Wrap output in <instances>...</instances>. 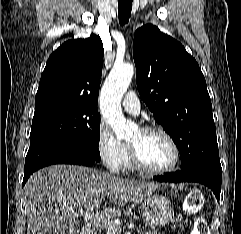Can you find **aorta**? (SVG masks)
<instances>
[{
	"label": "aorta",
	"mask_w": 241,
	"mask_h": 234,
	"mask_svg": "<svg viewBox=\"0 0 241 234\" xmlns=\"http://www.w3.org/2000/svg\"><path fill=\"white\" fill-rule=\"evenodd\" d=\"M133 74L132 64H115L100 94L102 115L118 139L131 137L136 130V125L126 120L121 110V99L130 85Z\"/></svg>",
	"instance_id": "aorta-1"
}]
</instances>
